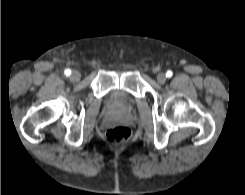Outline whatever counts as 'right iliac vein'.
<instances>
[{"instance_id":"1","label":"right iliac vein","mask_w":245,"mask_h":195,"mask_svg":"<svg viewBox=\"0 0 245 195\" xmlns=\"http://www.w3.org/2000/svg\"><path fill=\"white\" fill-rule=\"evenodd\" d=\"M80 78H81V74L78 71H73L72 74H71V76H70V79L73 82L79 81Z\"/></svg>"}]
</instances>
